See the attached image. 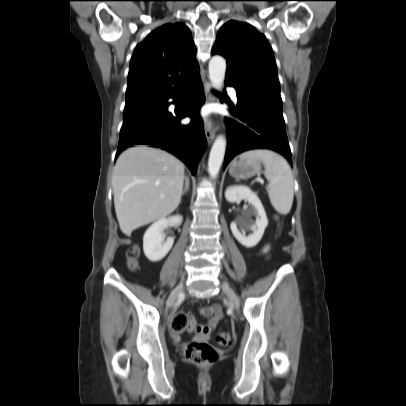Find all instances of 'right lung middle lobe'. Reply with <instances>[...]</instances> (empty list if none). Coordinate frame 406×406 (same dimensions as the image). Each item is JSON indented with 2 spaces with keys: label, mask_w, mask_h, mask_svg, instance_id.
<instances>
[{
  "label": "right lung middle lobe",
  "mask_w": 406,
  "mask_h": 406,
  "mask_svg": "<svg viewBox=\"0 0 406 406\" xmlns=\"http://www.w3.org/2000/svg\"><path fill=\"white\" fill-rule=\"evenodd\" d=\"M165 110L163 99H151L125 106L121 132L157 121Z\"/></svg>",
  "instance_id": "1"
}]
</instances>
